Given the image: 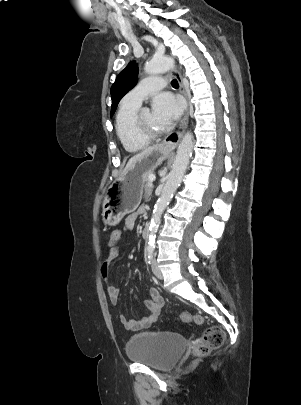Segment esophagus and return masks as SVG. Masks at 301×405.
Returning <instances> with one entry per match:
<instances>
[{
    "instance_id": "34e87169",
    "label": "esophagus",
    "mask_w": 301,
    "mask_h": 405,
    "mask_svg": "<svg viewBox=\"0 0 301 405\" xmlns=\"http://www.w3.org/2000/svg\"><path fill=\"white\" fill-rule=\"evenodd\" d=\"M171 73L175 76V78L177 79L179 85H180V89L182 94L185 97L186 100V111H185V115L183 117V119L181 120L180 123V130L174 133L169 134L168 136L165 137V139L162 142V146L165 148H169V149H174L176 148V146L178 145L179 141L181 140L187 125H188V118H189V98L186 92V89L184 87V83H183V79L181 74L177 71V70H171Z\"/></svg>"
}]
</instances>
